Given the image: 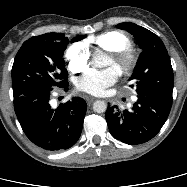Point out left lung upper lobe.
<instances>
[{
  "mask_svg": "<svg viewBox=\"0 0 187 187\" xmlns=\"http://www.w3.org/2000/svg\"><path fill=\"white\" fill-rule=\"evenodd\" d=\"M119 29L131 33L142 52L129 80L138 96H153L172 101L174 85L170 57L161 39L148 29L134 23H120Z\"/></svg>",
  "mask_w": 187,
  "mask_h": 187,
  "instance_id": "5c2ea615",
  "label": "left lung upper lobe"
}]
</instances>
